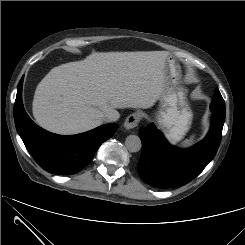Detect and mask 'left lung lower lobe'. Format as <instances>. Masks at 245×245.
I'll return each instance as SVG.
<instances>
[{
	"mask_svg": "<svg viewBox=\"0 0 245 245\" xmlns=\"http://www.w3.org/2000/svg\"><path fill=\"white\" fill-rule=\"evenodd\" d=\"M210 108L213 113L210 131L189 149L179 150L169 145L153 124L139 129L142 153L137 168L144 182L158 188L181 187L212 161L221 141L225 115Z\"/></svg>",
	"mask_w": 245,
	"mask_h": 245,
	"instance_id": "1",
	"label": "left lung lower lobe"
}]
</instances>
